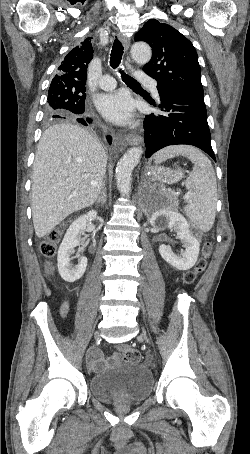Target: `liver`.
Here are the masks:
<instances>
[{
	"instance_id": "1",
	"label": "liver",
	"mask_w": 250,
	"mask_h": 454,
	"mask_svg": "<svg viewBox=\"0 0 250 454\" xmlns=\"http://www.w3.org/2000/svg\"><path fill=\"white\" fill-rule=\"evenodd\" d=\"M106 163L102 144L85 129L61 123L44 131L32 174V218L38 238L98 199Z\"/></svg>"
}]
</instances>
